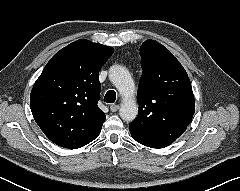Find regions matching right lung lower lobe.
Returning <instances> with one entry per match:
<instances>
[{"instance_id": "98d812e1", "label": "right lung lower lobe", "mask_w": 240, "mask_h": 191, "mask_svg": "<svg viewBox=\"0 0 240 191\" xmlns=\"http://www.w3.org/2000/svg\"><path fill=\"white\" fill-rule=\"evenodd\" d=\"M98 135H99V134H98ZM98 135H97V136H98ZM97 136L94 137V138H92V139H90V140H88V141H86L84 144L77 145V146H73V147H66V148H69V149H77V148L83 147V146L87 145L88 143H90L91 141H93L94 139H96Z\"/></svg>"}]
</instances>
